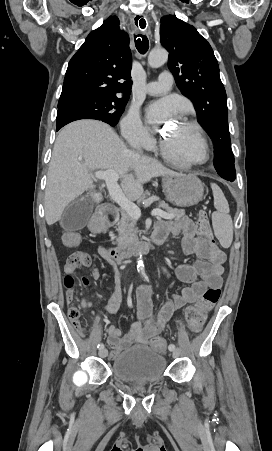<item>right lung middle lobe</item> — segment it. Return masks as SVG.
Segmentation results:
<instances>
[{
  "label": "right lung middle lobe",
  "mask_w": 272,
  "mask_h": 451,
  "mask_svg": "<svg viewBox=\"0 0 272 451\" xmlns=\"http://www.w3.org/2000/svg\"><path fill=\"white\" fill-rule=\"evenodd\" d=\"M128 98L117 96H81L59 100L56 127L79 119H96L115 126Z\"/></svg>",
  "instance_id": "right-lung-middle-lobe-1"
}]
</instances>
